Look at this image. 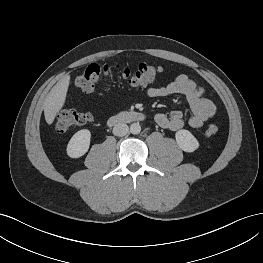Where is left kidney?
I'll list each match as a JSON object with an SVG mask.
<instances>
[{
	"label": "left kidney",
	"instance_id": "1",
	"mask_svg": "<svg viewBox=\"0 0 263 263\" xmlns=\"http://www.w3.org/2000/svg\"><path fill=\"white\" fill-rule=\"evenodd\" d=\"M178 146L185 152H194L199 148V142L194 135L185 129L179 130L175 134Z\"/></svg>",
	"mask_w": 263,
	"mask_h": 263
}]
</instances>
